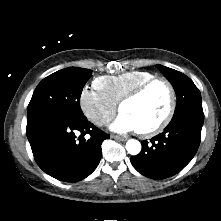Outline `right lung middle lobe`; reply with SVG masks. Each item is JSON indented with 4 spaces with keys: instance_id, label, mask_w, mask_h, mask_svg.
<instances>
[{
    "instance_id": "obj_1",
    "label": "right lung middle lobe",
    "mask_w": 221,
    "mask_h": 221,
    "mask_svg": "<svg viewBox=\"0 0 221 221\" xmlns=\"http://www.w3.org/2000/svg\"><path fill=\"white\" fill-rule=\"evenodd\" d=\"M92 70L68 67L44 78L36 87L27 109V120L51 113L83 115L80 96Z\"/></svg>"
}]
</instances>
